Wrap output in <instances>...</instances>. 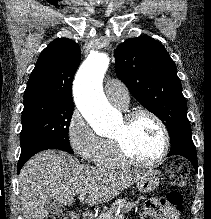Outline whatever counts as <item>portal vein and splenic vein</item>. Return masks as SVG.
I'll return each instance as SVG.
<instances>
[{
  "label": "portal vein and splenic vein",
  "instance_id": "18ae733b",
  "mask_svg": "<svg viewBox=\"0 0 211 219\" xmlns=\"http://www.w3.org/2000/svg\"><path fill=\"white\" fill-rule=\"evenodd\" d=\"M85 197H86V195L84 194V193H82V194H79L78 195V199L80 200V201H84L85 200ZM123 219V216L122 215H119L118 217H115L114 219Z\"/></svg>",
  "mask_w": 211,
  "mask_h": 219
}]
</instances>
